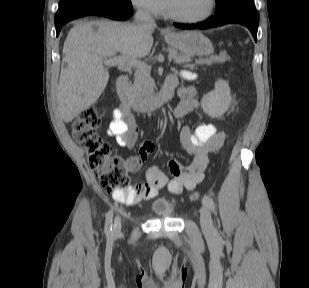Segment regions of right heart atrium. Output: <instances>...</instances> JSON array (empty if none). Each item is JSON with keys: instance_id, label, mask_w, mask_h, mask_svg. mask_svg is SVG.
I'll list each match as a JSON object with an SVG mask.
<instances>
[{"instance_id": "right-heart-atrium-1", "label": "right heart atrium", "mask_w": 309, "mask_h": 288, "mask_svg": "<svg viewBox=\"0 0 309 288\" xmlns=\"http://www.w3.org/2000/svg\"><path fill=\"white\" fill-rule=\"evenodd\" d=\"M137 10L147 15H158L164 8L163 0H129Z\"/></svg>"}]
</instances>
